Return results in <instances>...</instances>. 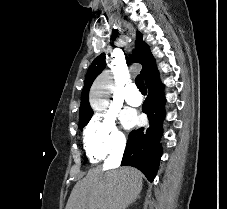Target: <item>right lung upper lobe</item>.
Listing matches in <instances>:
<instances>
[{"instance_id":"right-lung-upper-lobe-1","label":"right lung upper lobe","mask_w":227,"mask_h":209,"mask_svg":"<svg viewBox=\"0 0 227 209\" xmlns=\"http://www.w3.org/2000/svg\"><path fill=\"white\" fill-rule=\"evenodd\" d=\"M129 60L142 65L140 74L143 76L144 80H147L156 71L155 59L150 53L149 46L143 42L142 34L140 32H137L136 36L135 53ZM105 65V54L102 53L94 59L87 71L84 88L81 94L79 118L90 117L93 114L89 105L88 93L94 79L105 68Z\"/></svg>"}]
</instances>
